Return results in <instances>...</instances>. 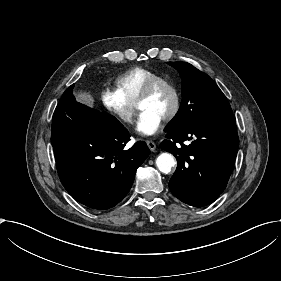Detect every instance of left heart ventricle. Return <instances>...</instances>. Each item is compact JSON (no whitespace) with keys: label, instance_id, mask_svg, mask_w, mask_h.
Returning <instances> with one entry per match:
<instances>
[{"label":"left heart ventricle","instance_id":"b2bd125f","mask_svg":"<svg viewBox=\"0 0 281 281\" xmlns=\"http://www.w3.org/2000/svg\"><path fill=\"white\" fill-rule=\"evenodd\" d=\"M172 103L171 91L165 86H160L152 96L140 103L139 109L146 110L163 121L169 113Z\"/></svg>","mask_w":281,"mask_h":281}]
</instances>
